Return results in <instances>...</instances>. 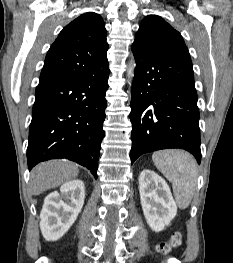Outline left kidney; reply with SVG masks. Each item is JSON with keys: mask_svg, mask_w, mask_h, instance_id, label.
<instances>
[{"mask_svg": "<svg viewBox=\"0 0 233 263\" xmlns=\"http://www.w3.org/2000/svg\"><path fill=\"white\" fill-rule=\"evenodd\" d=\"M139 193L145 219L155 232L162 231L177 214V206L166 181L152 170L139 176Z\"/></svg>", "mask_w": 233, "mask_h": 263, "instance_id": "obj_1", "label": "left kidney"}]
</instances>
